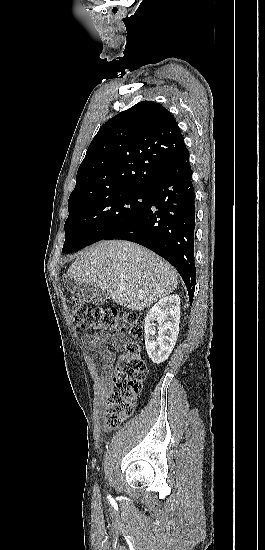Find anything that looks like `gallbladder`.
Returning a JSON list of instances; mask_svg holds the SVG:
<instances>
[{"instance_id":"obj_1","label":"gallbladder","mask_w":265,"mask_h":550,"mask_svg":"<svg viewBox=\"0 0 265 550\" xmlns=\"http://www.w3.org/2000/svg\"><path fill=\"white\" fill-rule=\"evenodd\" d=\"M65 286L72 294L86 303L102 305L108 298V294L100 288L86 283H77L71 278L66 279Z\"/></svg>"}]
</instances>
